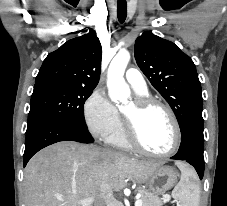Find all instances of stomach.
<instances>
[{
	"instance_id": "stomach-1",
	"label": "stomach",
	"mask_w": 227,
	"mask_h": 206,
	"mask_svg": "<svg viewBox=\"0 0 227 206\" xmlns=\"http://www.w3.org/2000/svg\"><path fill=\"white\" fill-rule=\"evenodd\" d=\"M178 173L173 167H158L148 179V185L155 194H162L177 183Z\"/></svg>"
}]
</instances>
